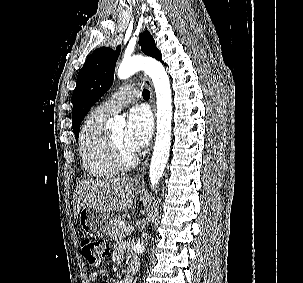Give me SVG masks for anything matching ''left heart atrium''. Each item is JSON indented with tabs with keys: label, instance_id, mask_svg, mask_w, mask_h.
Masks as SVG:
<instances>
[{
	"label": "left heart atrium",
	"instance_id": "obj_1",
	"mask_svg": "<svg viewBox=\"0 0 303 283\" xmlns=\"http://www.w3.org/2000/svg\"><path fill=\"white\" fill-rule=\"evenodd\" d=\"M152 129L150 114L144 108H132L127 114V123L124 130L126 147L132 153L139 152L148 144Z\"/></svg>",
	"mask_w": 303,
	"mask_h": 283
}]
</instances>
